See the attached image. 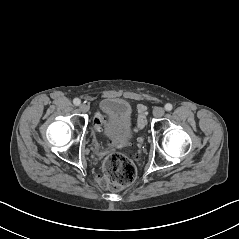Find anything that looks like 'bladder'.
I'll return each mask as SVG.
<instances>
[{
  "label": "bladder",
  "instance_id": "1",
  "mask_svg": "<svg viewBox=\"0 0 239 239\" xmlns=\"http://www.w3.org/2000/svg\"><path fill=\"white\" fill-rule=\"evenodd\" d=\"M104 115L103 131L112 137L116 145H123L132 138V107L130 103L119 97L105 98L100 102Z\"/></svg>",
  "mask_w": 239,
  "mask_h": 239
}]
</instances>
